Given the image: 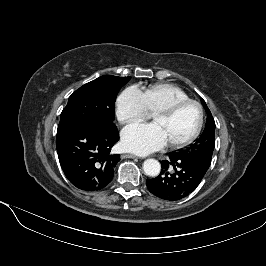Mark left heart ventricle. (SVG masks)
I'll use <instances>...</instances> for the list:
<instances>
[{"label": "left heart ventricle", "instance_id": "b2bd125f", "mask_svg": "<svg viewBox=\"0 0 266 266\" xmlns=\"http://www.w3.org/2000/svg\"><path fill=\"white\" fill-rule=\"evenodd\" d=\"M198 122V110L190 104L180 108L171 116L156 117V124L164 135L167 143L180 141L188 137Z\"/></svg>", "mask_w": 266, "mask_h": 266}]
</instances>
